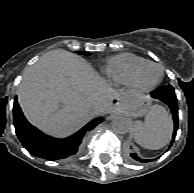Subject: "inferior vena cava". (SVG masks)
<instances>
[{
    "label": "inferior vena cava",
    "mask_w": 194,
    "mask_h": 193,
    "mask_svg": "<svg viewBox=\"0 0 194 193\" xmlns=\"http://www.w3.org/2000/svg\"><path fill=\"white\" fill-rule=\"evenodd\" d=\"M98 107H99L98 102H91L89 109L91 112L94 113L97 111Z\"/></svg>",
    "instance_id": "obj_1"
}]
</instances>
